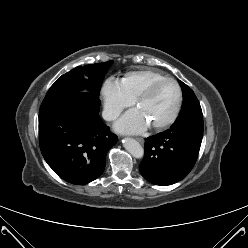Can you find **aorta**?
Here are the masks:
<instances>
[{"instance_id":"762f6f07","label":"aorta","mask_w":248,"mask_h":248,"mask_svg":"<svg viewBox=\"0 0 248 248\" xmlns=\"http://www.w3.org/2000/svg\"><path fill=\"white\" fill-rule=\"evenodd\" d=\"M123 146L135 158H142L144 155L143 147L133 138H125Z\"/></svg>"}]
</instances>
